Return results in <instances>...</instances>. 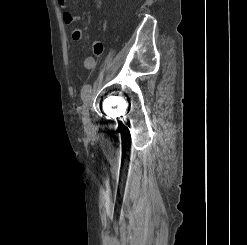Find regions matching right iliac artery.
I'll list each match as a JSON object with an SVG mask.
<instances>
[{
	"label": "right iliac artery",
	"mask_w": 247,
	"mask_h": 245,
	"mask_svg": "<svg viewBox=\"0 0 247 245\" xmlns=\"http://www.w3.org/2000/svg\"><path fill=\"white\" fill-rule=\"evenodd\" d=\"M90 92H91V85H89V84L84 85L82 88V91H81V98H82L83 102L86 101Z\"/></svg>",
	"instance_id": "82829eb1"
}]
</instances>
